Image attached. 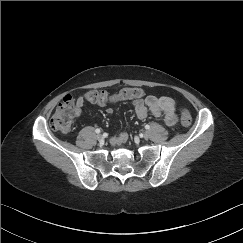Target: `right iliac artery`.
Returning <instances> with one entry per match:
<instances>
[{"instance_id":"right-iliac-artery-1","label":"right iliac artery","mask_w":243,"mask_h":243,"mask_svg":"<svg viewBox=\"0 0 243 243\" xmlns=\"http://www.w3.org/2000/svg\"><path fill=\"white\" fill-rule=\"evenodd\" d=\"M95 132L96 133H100L101 131H100V129H96Z\"/></svg>"}]
</instances>
